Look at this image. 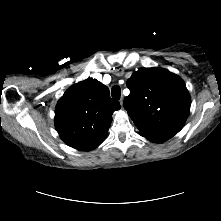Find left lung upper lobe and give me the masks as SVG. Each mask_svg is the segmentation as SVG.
<instances>
[{"label": "left lung upper lobe", "instance_id": "left-lung-upper-lobe-1", "mask_svg": "<svg viewBox=\"0 0 221 221\" xmlns=\"http://www.w3.org/2000/svg\"><path fill=\"white\" fill-rule=\"evenodd\" d=\"M124 108L144 136L166 141L183 127L190 95L183 80L163 68H142L127 80Z\"/></svg>", "mask_w": 221, "mask_h": 221}]
</instances>
